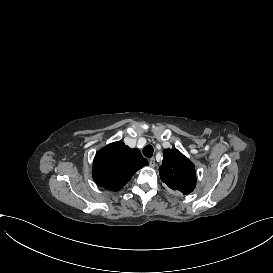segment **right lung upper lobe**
<instances>
[{"instance_id":"right-lung-upper-lobe-1","label":"right lung upper lobe","mask_w":273,"mask_h":273,"mask_svg":"<svg viewBox=\"0 0 273 273\" xmlns=\"http://www.w3.org/2000/svg\"><path fill=\"white\" fill-rule=\"evenodd\" d=\"M147 164L138 149H130L117 141L97 152L93 161V179L100 186L117 191Z\"/></svg>"}]
</instances>
